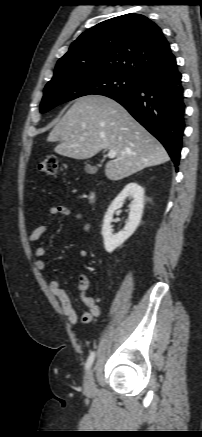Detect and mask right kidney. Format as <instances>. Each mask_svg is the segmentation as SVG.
Returning <instances> with one entry per match:
<instances>
[{
  "mask_svg": "<svg viewBox=\"0 0 202 437\" xmlns=\"http://www.w3.org/2000/svg\"><path fill=\"white\" fill-rule=\"evenodd\" d=\"M126 198L132 199L129 206V218L124 229L118 234H113L111 226L113 214L117 209L123 206ZM143 208L144 189L135 182L127 184L121 193L113 200L104 216L102 236L105 250L108 253H112L117 247L121 246L136 231L141 222Z\"/></svg>",
  "mask_w": 202,
  "mask_h": 437,
  "instance_id": "obj_1",
  "label": "right kidney"
}]
</instances>
